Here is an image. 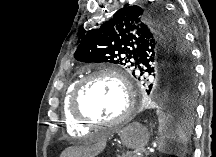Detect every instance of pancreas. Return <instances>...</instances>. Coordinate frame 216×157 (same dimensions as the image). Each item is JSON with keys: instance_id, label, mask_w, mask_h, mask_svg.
<instances>
[{"instance_id": "obj_1", "label": "pancreas", "mask_w": 216, "mask_h": 157, "mask_svg": "<svg viewBox=\"0 0 216 157\" xmlns=\"http://www.w3.org/2000/svg\"><path fill=\"white\" fill-rule=\"evenodd\" d=\"M143 152L145 153V155L147 156L149 154V152L143 150V149H137L131 153H128L126 155V157H144L143 156Z\"/></svg>"}]
</instances>
